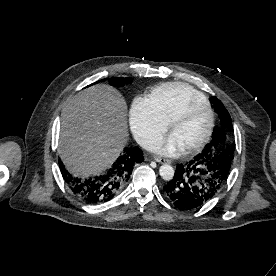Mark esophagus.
<instances>
[{"instance_id": "obj_1", "label": "esophagus", "mask_w": 276, "mask_h": 276, "mask_svg": "<svg viewBox=\"0 0 276 276\" xmlns=\"http://www.w3.org/2000/svg\"><path fill=\"white\" fill-rule=\"evenodd\" d=\"M154 159H155V161L162 163V164L171 162L169 159H165V158H161V157H157V156H155Z\"/></svg>"}]
</instances>
